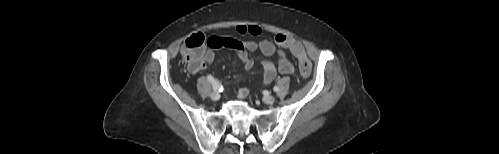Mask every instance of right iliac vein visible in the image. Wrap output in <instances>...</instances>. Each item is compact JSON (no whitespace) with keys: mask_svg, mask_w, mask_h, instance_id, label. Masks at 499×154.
<instances>
[{"mask_svg":"<svg viewBox=\"0 0 499 154\" xmlns=\"http://www.w3.org/2000/svg\"><path fill=\"white\" fill-rule=\"evenodd\" d=\"M210 98L213 100V101H218L220 99V95L217 93V92H212L210 94Z\"/></svg>","mask_w":499,"mask_h":154,"instance_id":"1","label":"right iliac vein"}]
</instances>
